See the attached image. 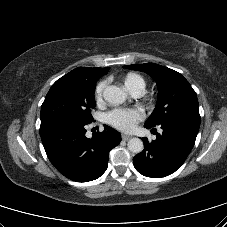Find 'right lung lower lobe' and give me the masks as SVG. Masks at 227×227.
I'll return each instance as SVG.
<instances>
[{"label":"right lung lower lobe","mask_w":227,"mask_h":227,"mask_svg":"<svg viewBox=\"0 0 227 227\" xmlns=\"http://www.w3.org/2000/svg\"><path fill=\"white\" fill-rule=\"evenodd\" d=\"M86 124L67 119L41 122L40 136L46 154L65 177L88 182L100 177L108 166L109 152L121 141V135L104 125V131L85 136Z\"/></svg>","instance_id":"obj_1"}]
</instances>
